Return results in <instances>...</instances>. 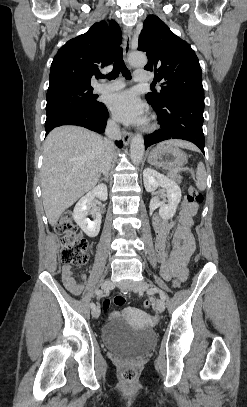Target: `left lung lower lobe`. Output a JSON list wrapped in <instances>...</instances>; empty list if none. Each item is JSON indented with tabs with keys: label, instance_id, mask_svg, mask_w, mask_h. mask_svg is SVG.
<instances>
[{
	"label": "left lung lower lobe",
	"instance_id": "1",
	"mask_svg": "<svg viewBox=\"0 0 247 407\" xmlns=\"http://www.w3.org/2000/svg\"><path fill=\"white\" fill-rule=\"evenodd\" d=\"M153 108L161 128L145 136V149L167 139H183L194 143L204 153V100L176 97L169 99L163 107Z\"/></svg>",
	"mask_w": 247,
	"mask_h": 407
}]
</instances>
